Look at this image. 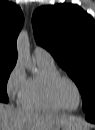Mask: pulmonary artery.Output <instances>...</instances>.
Instances as JSON below:
<instances>
[{
  "label": "pulmonary artery",
  "instance_id": "obj_1",
  "mask_svg": "<svg viewBox=\"0 0 95 130\" xmlns=\"http://www.w3.org/2000/svg\"><path fill=\"white\" fill-rule=\"evenodd\" d=\"M36 61L54 62L52 55L44 48L36 46L33 51Z\"/></svg>",
  "mask_w": 95,
  "mask_h": 130
}]
</instances>
